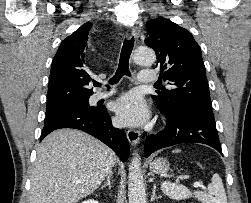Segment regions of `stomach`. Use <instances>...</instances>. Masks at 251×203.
I'll return each instance as SVG.
<instances>
[{"label": "stomach", "mask_w": 251, "mask_h": 203, "mask_svg": "<svg viewBox=\"0 0 251 203\" xmlns=\"http://www.w3.org/2000/svg\"><path fill=\"white\" fill-rule=\"evenodd\" d=\"M150 170L156 174L168 172L170 164L166 158H157L149 163Z\"/></svg>", "instance_id": "obj_1"}]
</instances>
